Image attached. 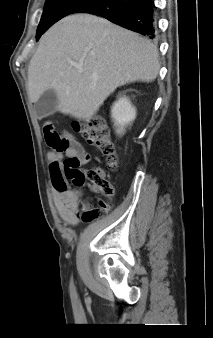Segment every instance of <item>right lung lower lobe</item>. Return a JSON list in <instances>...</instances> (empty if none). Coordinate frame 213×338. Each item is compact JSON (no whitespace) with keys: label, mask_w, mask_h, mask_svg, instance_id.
Here are the masks:
<instances>
[{"label":"right lung lower lobe","mask_w":213,"mask_h":338,"mask_svg":"<svg viewBox=\"0 0 213 338\" xmlns=\"http://www.w3.org/2000/svg\"><path fill=\"white\" fill-rule=\"evenodd\" d=\"M74 13H91L149 38L157 35L154 0H92Z\"/></svg>","instance_id":"right-lung-lower-lobe-1"}]
</instances>
